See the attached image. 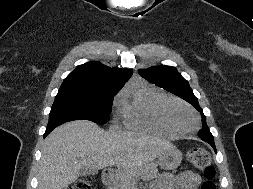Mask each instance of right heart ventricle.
Here are the masks:
<instances>
[{"instance_id":"e07e8e85","label":"right heart ventricle","mask_w":253,"mask_h":189,"mask_svg":"<svg viewBox=\"0 0 253 189\" xmlns=\"http://www.w3.org/2000/svg\"><path fill=\"white\" fill-rule=\"evenodd\" d=\"M168 98L164 93L147 85H137L121 94V110L126 128L134 131L174 136L157 117V107Z\"/></svg>"}]
</instances>
